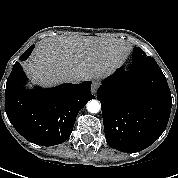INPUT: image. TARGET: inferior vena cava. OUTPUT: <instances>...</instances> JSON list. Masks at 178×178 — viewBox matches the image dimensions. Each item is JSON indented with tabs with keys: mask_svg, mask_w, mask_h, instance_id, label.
Returning <instances> with one entry per match:
<instances>
[{
	"mask_svg": "<svg viewBox=\"0 0 178 178\" xmlns=\"http://www.w3.org/2000/svg\"><path fill=\"white\" fill-rule=\"evenodd\" d=\"M68 81H70L72 83H79L81 81V79L76 75H70L68 77Z\"/></svg>",
	"mask_w": 178,
	"mask_h": 178,
	"instance_id": "inferior-vena-cava-1",
	"label": "inferior vena cava"
}]
</instances>
